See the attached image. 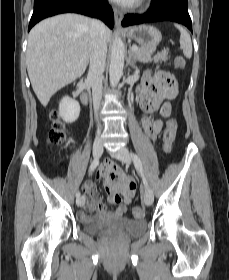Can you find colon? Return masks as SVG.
<instances>
[{
  "mask_svg": "<svg viewBox=\"0 0 229 280\" xmlns=\"http://www.w3.org/2000/svg\"><path fill=\"white\" fill-rule=\"evenodd\" d=\"M176 62L178 65L182 66L185 64V58L183 56H178ZM158 77L171 94L176 92L177 81L172 73L161 71L159 72ZM50 118L52 120V125L48 132V139L52 144L56 146H62L66 141V134L65 127L60 121V114L58 111L53 110L50 114ZM177 131L178 124L176 119L170 118L167 121L163 132V142L166 151H170L173 148L177 137ZM110 178L112 182L119 183L125 177H122L116 173H112ZM133 215L137 218H141L145 215V213L141 208L137 207L133 210Z\"/></svg>",
  "mask_w": 229,
  "mask_h": 280,
  "instance_id": "1",
  "label": "colon"
}]
</instances>
